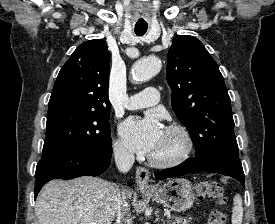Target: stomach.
Returning <instances> with one entry per match:
<instances>
[{
	"label": "stomach",
	"mask_w": 275,
	"mask_h": 224,
	"mask_svg": "<svg viewBox=\"0 0 275 224\" xmlns=\"http://www.w3.org/2000/svg\"><path fill=\"white\" fill-rule=\"evenodd\" d=\"M145 192L156 202L175 212L190 209L195 199L191 182L183 178L171 179Z\"/></svg>",
	"instance_id": "1"
}]
</instances>
